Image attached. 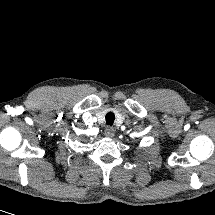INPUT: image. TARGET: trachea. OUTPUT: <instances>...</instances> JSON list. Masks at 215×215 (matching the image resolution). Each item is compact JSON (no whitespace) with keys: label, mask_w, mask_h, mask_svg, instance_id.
Masks as SVG:
<instances>
[{"label":"trachea","mask_w":215,"mask_h":215,"mask_svg":"<svg viewBox=\"0 0 215 215\" xmlns=\"http://www.w3.org/2000/svg\"><path fill=\"white\" fill-rule=\"evenodd\" d=\"M106 124L112 126L115 120V115L112 112L106 114Z\"/></svg>","instance_id":"obj_1"}]
</instances>
